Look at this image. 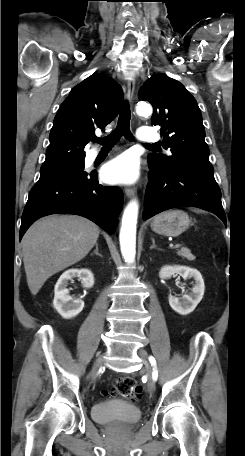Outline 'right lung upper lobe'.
Returning a JSON list of instances; mask_svg holds the SVG:
<instances>
[{
	"mask_svg": "<svg viewBox=\"0 0 245 456\" xmlns=\"http://www.w3.org/2000/svg\"><path fill=\"white\" fill-rule=\"evenodd\" d=\"M122 98L121 87L100 74H93L75 86L54 118L41 168L84 159L85 145L96 128L104 129L117 116Z\"/></svg>",
	"mask_w": 245,
	"mask_h": 456,
	"instance_id": "1",
	"label": "right lung upper lobe"
}]
</instances>
